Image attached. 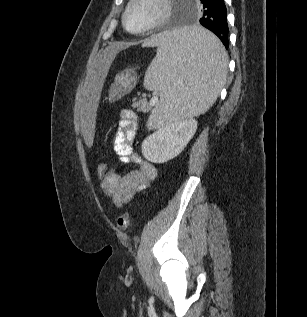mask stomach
Instances as JSON below:
<instances>
[{"instance_id": "stomach-1", "label": "stomach", "mask_w": 307, "mask_h": 317, "mask_svg": "<svg viewBox=\"0 0 307 317\" xmlns=\"http://www.w3.org/2000/svg\"><path fill=\"white\" fill-rule=\"evenodd\" d=\"M133 81L134 76L131 70H125L119 73L111 87L109 98L111 100L120 98L132 88Z\"/></svg>"}]
</instances>
